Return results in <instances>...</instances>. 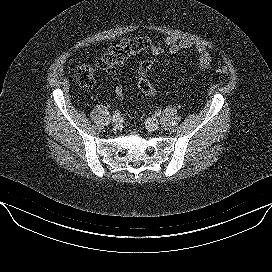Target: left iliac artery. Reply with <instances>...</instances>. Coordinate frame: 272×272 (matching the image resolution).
Instances as JSON below:
<instances>
[{
    "label": "left iliac artery",
    "instance_id": "1",
    "mask_svg": "<svg viewBox=\"0 0 272 272\" xmlns=\"http://www.w3.org/2000/svg\"><path fill=\"white\" fill-rule=\"evenodd\" d=\"M157 116H160L161 115V112L160 111H156L155 112Z\"/></svg>",
    "mask_w": 272,
    "mask_h": 272
}]
</instances>
